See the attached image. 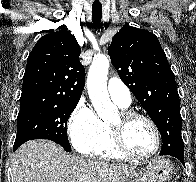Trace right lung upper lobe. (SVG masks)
Returning <instances> with one entry per match:
<instances>
[{"mask_svg": "<svg viewBox=\"0 0 196 182\" xmlns=\"http://www.w3.org/2000/svg\"><path fill=\"white\" fill-rule=\"evenodd\" d=\"M80 52L75 37L67 28L41 37L28 56L20 107L78 102L85 85Z\"/></svg>", "mask_w": 196, "mask_h": 182, "instance_id": "1", "label": "right lung upper lobe"}]
</instances>
